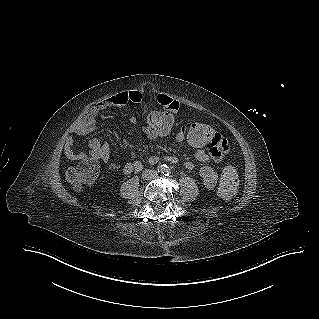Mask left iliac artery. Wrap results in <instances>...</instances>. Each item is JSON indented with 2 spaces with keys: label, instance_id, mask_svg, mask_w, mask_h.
<instances>
[{
  "label": "left iliac artery",
  "instance_id": "left-iliac-artery-1",
  "mask_svg": "<svg viewBox=\"0 0 319 319\" xmlns=\"http://www.w3.org/2000/svg\"><path fill=\"white\" fill-rule=\"evenodd\" d=\"M170 173H171V170L167 167V168L165 169V172H164L163 174H164L165 176H169Z\"/></svg>",
  "mask_w": 319,
  "mask_h": 319
}]
</instances>
